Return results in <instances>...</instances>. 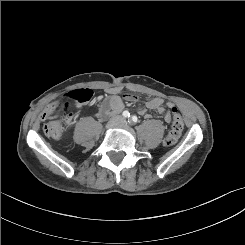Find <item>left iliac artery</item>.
<instances>
[{"mask_svg":"<svg viewBox=\"0 0 245 245\" xmlns=\"http://www.w3.org/2000/svg\"><path fill=\"white\" fill-rule=\"evenodd\" d=\"M138 121V118H137V116H132L131 118H130V120H129V122L131 123V124H135L136 122Z\"/></svg>","mask_w":245,"mask_h":245,"instance_id":"44dca946","label":"left iliac artery"}]
</instances>
